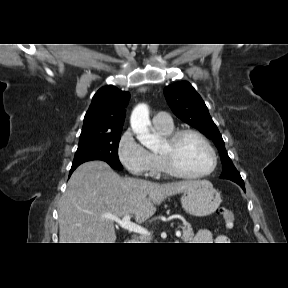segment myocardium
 Listing matches in <instances>:
<instances>
[{"mask_svg":"<svg viewBox=\"0 0 288 288\" xmlns=\"http://www.w3.org/2000/svg\"><path fill=\"white\" fill-rule=\"evenodd\" d=\"M187 136H194L198 138L210 151L213 162L211 168L208 171L199 174H191L184 171L178 164L176 159L177 147L182 139ZM165 143L167 145V150L163 153H159V156L166 171L169 174L185 179H201L208 177L215 172L218 166L217 152L210 141L201 132L194 129L177 130L165 138Z\"/></svg>","mask_w":288,"mask_h":288,"instance_id":"1","label":"myocardium"}]
</instances>
